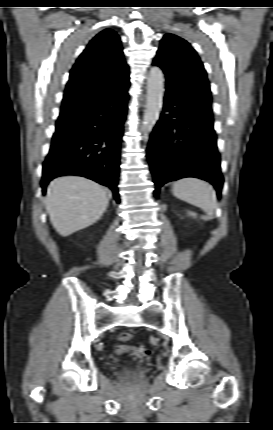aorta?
<instances>
[{
  "instance_id": "aorta-1",
  "label": "aorta",
  "mask_w": 273,
  "mask_h": 430,
  "mask_svg": "<svg viewBox=\"0 0 273 430\" xmlns=\"http://www.w3.org/2000/svg\"><path fill=\"white\" fill-rule=\"evenodd\" d=\"M164 74L158 67L150 69L147 80L146 109L143 118L142 130L149 132L160 117L163 106Z\"/></svg>"
}]
</instances>
